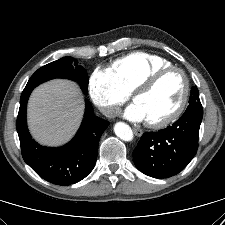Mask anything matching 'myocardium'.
I'll return each mask as SVG.
<instances>
[{"mask_svg":"<svg viewBox=\"0 0 225 225\" xmlns=\"http://www.w3.org/2000/svg\"><path fill=\"white\" fill-rule=\"evenodd\" d=\"M172 71L178 72L183 80V93L181 100L176 106V108L165 117L156 121H146L147 126H149L150 128L160 129L166 127L169 124L175 122L182 115L187 106L190 92V84L188 76L185 73V71L180 67L173 65L167 66L151 73L132 92V100L134 101L137 96L148 92L160 78H162L164 75Z\"/></svg>","mask_w":225,"mask_h":225,"instance_id":"f54148a6","label":"myocardium"}]
</instances>
